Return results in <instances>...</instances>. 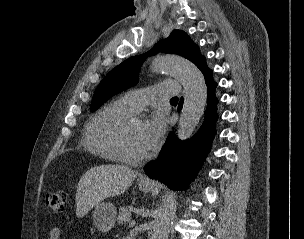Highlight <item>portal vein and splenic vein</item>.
<instances>
[{"label":"portal vein and splenic vein","instance_id":"1","mask_svg":"<svg viewBox=\"0 0 304 239\" xmlns=\"http://www.w3.org/2000/svg\"><path fill=\"white\" fill-rule=\"evenodd\" d=\"M135 224H136L135 221H131V222L129 223L130 226H135Z\"/></svg>","mask_w":304,"mask_h":239}]
</instances>
